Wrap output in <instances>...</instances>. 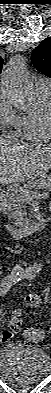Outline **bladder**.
I'll return each instance as SVG.
<instances>
[{"label":"bladder","instance_id":"bladder-1","mask_svg":"<svg viewBox=\"0 0 51 393\" xmlns=\"http://www.w3.org/2000/svg\"><path fill=\"white\" fill-rule=\"evenodd\" d=\"M0 369L8 380L24 384L33 383L50 374L51 360L40 349L11 345L2 352Z\"/></svg>","mask_w":51,"mask_h":393}]
</instances>
